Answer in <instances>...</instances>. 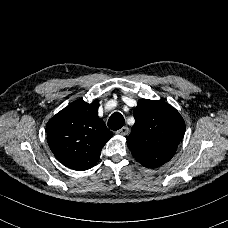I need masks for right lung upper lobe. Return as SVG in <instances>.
Listing matches in <instances>:
<instances>
[{"mask_svg": "<svg viewBox=\"0 0 228 228\" xmlns=\"http://www.w3.org/2000/svg\"><path fill=\"white\" fill-rule=\"evenodd\" d=\"M98 107V100L89 104L80 99L48 121L47 142L55 157L66 167L79 171L90 169L113 136L98 117Z\"/></svg>", "mask_w": 228, "mask_h": 228, "instance_id": "right-lung-upper-lobe-1", "label": "right lung upper lobe"}]
</instances>
